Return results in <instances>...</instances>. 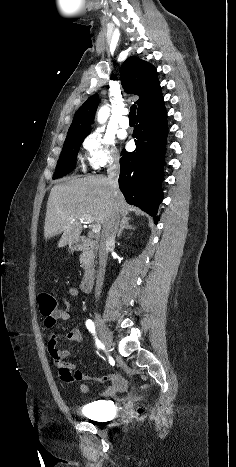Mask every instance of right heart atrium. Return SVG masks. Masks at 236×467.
Wrapping results in <instances>:
<instances>
[{
	"instance_id": "obj_1",
	"label": "right heart atrium",
	"mask_w": 236,
	"mask_h": 467,
	"mask_svg": "<svg viewBox=\"0 0 236 467\" xmlns=\"http://www.w3.org/2000/svg\"><path fill=\"white\" fill-rule=\"evenodd\" d=\"M83 149L87 164L94 170L111 165L117 159L114 138L102 130L87 135L83 140Z\"/></svg>"
}]
</instances>
